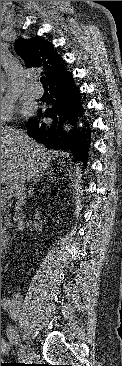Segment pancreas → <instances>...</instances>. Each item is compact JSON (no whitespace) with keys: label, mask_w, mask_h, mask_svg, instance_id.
I'll return each mask as SVG.
<instances>
[{"label":"pancreas","mask_w":122,"mask_h":366,"mask_svg":"<svg viewBox=\"0 0 122 366\" xmlns=\"http://www.w3.org/2000/svg\"><path fill=\"white\" fill-rule=\"evenodd\" d=\"M6 200L7 199H5V198H3V197H1V207L6 203ZM7 228H6V226L5 225H3V220H2V217H1V233L2 232H5V230H6Z\"/></svg>","instance_id":"1"}]
</instances>
